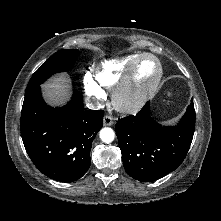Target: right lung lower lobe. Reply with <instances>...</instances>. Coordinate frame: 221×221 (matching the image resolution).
<instances>
[{"label":"right lung lower lobe","instance_id":"98d812e1","mask_svg":"<svg viewBox=\"0 0 221 221\" xmlns=\"http://www.w3.org/2000/svg\"><path fill=\"white\" fill-rule=\"evenodd\" d=\"M103 114L85 110L78 91L61 108L48 106L40 87L25 94L21 136L34 165L60 182L81 178L89 169L92 141L103 126Z\"/></svg>","mask_w":221,"mask_h":221}]
</instances>
